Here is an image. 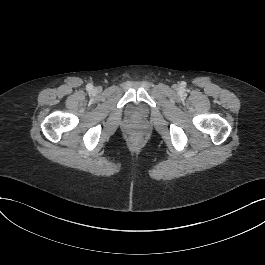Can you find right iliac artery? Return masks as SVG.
<instances>
[{
	"label": "right iliac artery",
	"mask_w": 265,
	"mask_h": 265,
	"mask_svg": "<svg viewBox=\"0 0 265 265\" xmlns=\"http://www.w3.org/2000/svg\"><path fill=\"white\" fill-rule=\"evenodd\" d=\"M86 89H87L88 91H91V90L93 89V85L90 84V83L87 84Z\"/></svg>",
	"instance_id": "1"
}]
</instances>
